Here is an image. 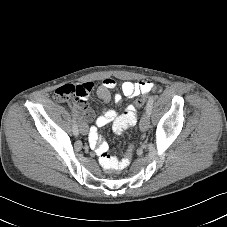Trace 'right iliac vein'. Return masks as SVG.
Returning a JSON list of instances; mask_svg holds the SVG:
<instances>
[{
	"label": "right iliac vein",
	"instance_id": "obj_1",
	"mask_svg": "<svg viewBox=\"0 0 227 227\" xmlns=\"http://www.w3.org/2000/svg\"><path fill=\"white\" fill-rule=\"evenodd\" d=\"M82 134H87V130L85 128H80Z\"/></svg>",
	"mask_w": 227,
	"mask_h": 227
}]
</instances>
